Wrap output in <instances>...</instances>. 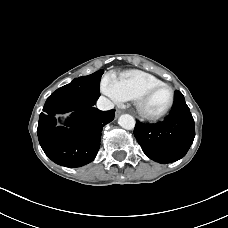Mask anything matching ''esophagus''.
Masks as SVG:
<instances>
[{
	"mask_svg": "<svg viewBox=\"0 0 228 228\" xmlns=\"http://www.w3.org/2000/svg\"><path fill=\"white\" fill-rule=\"evenodd\" d=\"M121 113H122V111L117 109L116 113H115L116 117H118Z\"/></svg>",
	"mask_w": 228,
	"mask_h": 228,
	"instance_id": "1",
	"label": "esophagus"
}]
</instances>
